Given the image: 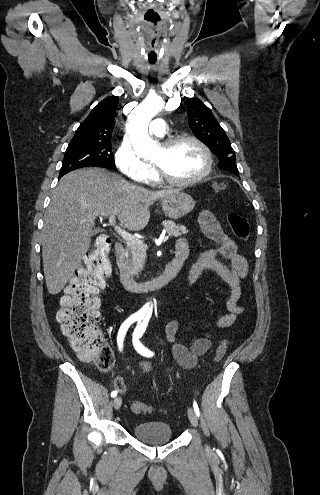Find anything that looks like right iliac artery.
Returning <instances> with one entry per match:
<instances>
[{"label": "right iliac artery", "mask_w": 320, "mask_h": 495, "mask_svg": "<svg viewBox=\"0 0 320 495\" xmlns=\"http://www.w3.org/2000/svg\"><path fill=\"white\" fill-rule=\"evenodd\" d=\"M141 319V316L139 314H132L130 317H128L121 325L119 331H118V335H117V344H118V347H119V350L121 351L122 350V347H123V341H124V337L126 335V332L128 330V328L134 323L136 322L137 320H140ZM118 391L117 390H114L111 392V397H115L117 395Z\"/></svg>", "instance_id": "82829eb1"}]
</instances>
